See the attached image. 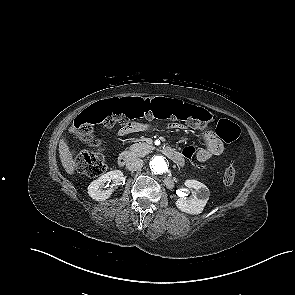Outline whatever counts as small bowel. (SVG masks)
I'll list each match as a JSON object with an SVG mask.
<instances>
[{
    "label": "small bowel",
    "mask_w": 295,
    "mask_h": 295,
    "mask_svg": "<svg viewBox=\"0 0 295 295\" xmlns=\"http://www.w3.org/2000/svg\"><path fill=\"white\" fill-rule=\"evenodd\" d=\"M148 126L143 123L132 122L124 125L118 132L119 136H126L134 132L147 129ZM202 139L205 146L196 151L195 158L201 163L211 160L213 157L219 156L224 150V146L220 139L212 132H205L202 134Z\"/></svg>",
    "instance_id": "small-bowel-1"
}]
</instances>
